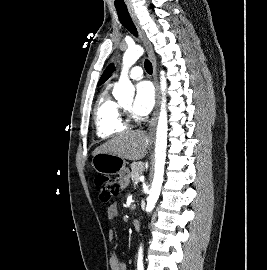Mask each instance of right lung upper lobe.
Listing matches in <instances>:
<instances>
[{"mask_svg": "<svg viewBox=\"0 0 267 270\" xmlns=\"http://www.w3.org/2000/svg\"><path fill=\"white\" fill-rule=\"evenodd\" d=\"M114 70H115L114 65L113 64H110L106 68V70L104 71L103 75L101 76L98 85L103 84L108 79V77L114 72Z\"/></svg>", "mask_w": 267, "mask_h": 270, "instance_id": "right-lung-upper-lobe-1", "label": "right lung upper lobe"}]
</instances>
